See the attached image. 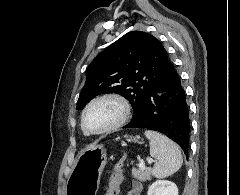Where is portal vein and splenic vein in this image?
<instances>
[{
  "instance_id": "portal-vein-and-splenic-vein-1",
  "label": "portal vein and splenic vein",
  "mask_w": 240,
  "mask_h": 195,
  "mask_svg": "<svg viewBox=\"0 0 240 195\" xmlns=\"http://www.w3.org/2000/svg\"><path fill=\"white\" fill-rule=\"evenodd\" d=\"M153 161H155V159H147V163H153ZM139 167L140 169H144L145 167L144 159H139Z\"/></svg>"
}]
</instances>
